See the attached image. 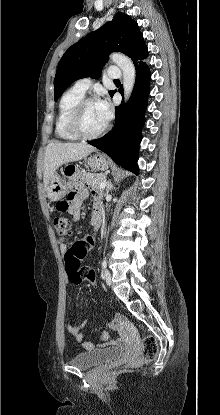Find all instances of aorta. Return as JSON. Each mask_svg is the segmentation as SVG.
<instances>
[{"mask_svg":"<svg viewBox=\"0 0 220 415\" xmlns=\"http://www.w3.org/2000/svg\"><path fill=\"white\" fill-rule=\"evenodd\" d=\"M110 59L120 67L123 72V90L125 101L129 99L133 91L136 79V70L133 62L121 53H112Z\"/></svg>","mask_w":220,"mask_h":415,"instance_id":"762f6f07","label":"aorta"}]
</instances>
